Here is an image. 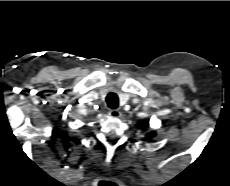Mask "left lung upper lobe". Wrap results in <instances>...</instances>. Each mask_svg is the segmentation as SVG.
Wrapping results in <instances>:
<instances>
[{
    "mask_svg": "<svg viewBox=\"0 0 230 186\" xmlns=\"http://www.w3.org/2000/svg\"><path fill=\"white\" fill-rule=\"evenodd\" d=\"M146 125L148 126V124H146ZM154 134H155V132H152V134H147L146 137H147L148 139H150V138H152V136H153Z\"/></svg>",
    "mask_w": 230,
    "mask_h": 186,
    "instance_id": "1",
    "label": "left lung upper lobe"
}]
</instances>
